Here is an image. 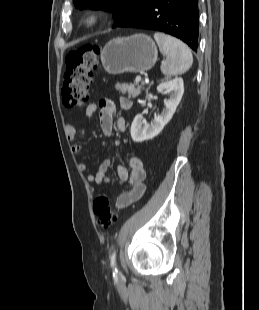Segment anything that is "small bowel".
Here are the masks:
<instances>
[{"mask_svg":"<svg viewBox=\"0 0 259 310\" xmlns=\"http://www.w3.org/2000/svg\"><path fill=\"white\" fill-rule=\"evenodd\" d=\"M119 104L123 110H128L131 107V101L126 97H121L119 99ZM115 112L116 104L113 100L108 98H102L98 103L93 102L86 107V115L89 118L98 116L101 130L105 136H110L115 129L119 131H124L126 129L125 120L122 117H116ZM83 134L84 130L78 129L73 124H68L66 127V137L70 141H73L77 136ZM102 144L104 145L105 142H102ZM113 145L117 148L121 146L119 141H115ZM82 148L81 144H75L73 146V151L79 153L82 151ZM110 164L111 159H105L96 171L88 173V182L95 184L108 182L109 179L106 172ZM78 168L80 171H85L87 169L86 161H80ZM116 176L119 181L128 182L131 186V190L122 193L117 198L116 207L118 209H124L143 197L146 191V170L143 160L140 157L131 156L128 160V167L118 165L116 168Z\"/></svg>","mask_w":259,"mask_h":310,"instance_id":"obj_1","label":"small bowel"}]
</instances>
